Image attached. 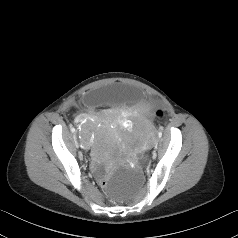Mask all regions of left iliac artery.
<instances>
[{
	"label": "left iliac artery",
	"instance_id": "1",
	"mask_svg": "<svg viewBox=\"0 0 238 238\" xmlns=\"http://www.w3.org/2000/svg\"><path fill=\"white\" fill-rule=\"evenodd\" d=\"M158 136H159V137H162V132H159V133H158Z\"/></svg>",
	"mask_w": 238,
	"mask_h": 238
}]
</instances>
